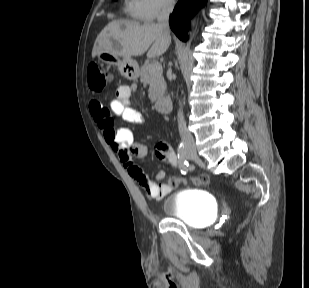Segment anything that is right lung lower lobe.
<instances>
[{
    "label": "right lung lower lobe",
    "instance_id": "98d812e1",
    "mask_svg": "<svg viewBox=\"0 0 309 288\" xmlns=\"http://www.w3.org/2000/svg\"><path fill=\"white\" fill-rule=\"evenodd\" d=\"M206 2L207 0H179L170 19V27L179 39L187 40L186 26L189 18Z\"/></svg>",
    "mask_w": 309,
    "mask_h": 288
}]
</instances>
